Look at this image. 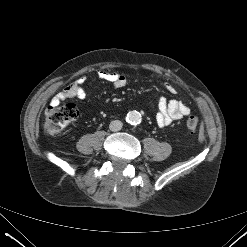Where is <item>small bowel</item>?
<instances>
[{
    "label": "small bowel",
    "instance_id": "obj_1",
    "mask_svg": "<svg viewBox=\"0 0 247 247\" xmlns=\"http://www.w3.org/2000/svg\"><path fill=\"white\" fill-rule=\"evenodd\" d=\"M97 75L100 79L111 83L115 89H120L127 85V78L121 73L101 69L97 72ZM84 82V77L77 79L67 88L57 93L53 97L52 103L59 104L61 101L69 98L85 99ZM164 88L169 93H176V88L170 83H165ZM158 110L156 122L160 127L168 126L173 121L180 120L190 113V108L182 101L167 100L165 97L159 98Z\"/></svg>",
    "mask_w": 247,
    "mask_h": 247
}]
</instances>
